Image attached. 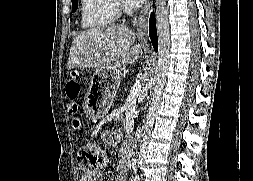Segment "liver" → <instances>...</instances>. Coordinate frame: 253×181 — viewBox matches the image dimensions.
Instances as JSON below:
<instances>
[{"mask_svg":"<svg viewBox=\"0 0 253 181\" xmlns=\"http://www.w3.org/2000/svg\"><path fill=\"white\" fill-rule=\"evenodd\" d=\"M135 33L124 25L92 27L76 35L67 68L119 69L142 57Z\"/></svg>","mask_w":253,"mask_h":181,"instance_id":"liver-1","label":"liver"}]
</instances>
